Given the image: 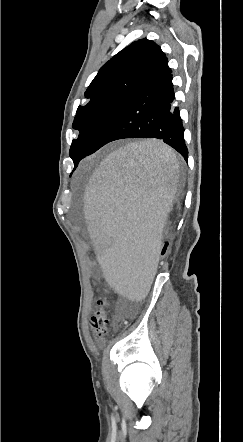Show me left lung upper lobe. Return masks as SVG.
Masks as SVG:
<instances>
[{"mask_svg": "<svg viewBox=\"0 0 243 442\" xmlns=\"http://www.w3.org/2000/svg\"><path fill=\"white\" fill-rule=\"evenodd\" d=\"M163 55L157 44L145 38L133 42L101 67L85 92L89 102L78 107L72 125L79 132L69 152L74 169L86 156L116 107L144 80Z\"/></svg>", "mask_w": 243, "mask_h": 442, "instance_id": "1", "label": "left lung upper lobe"}]
</instances>
